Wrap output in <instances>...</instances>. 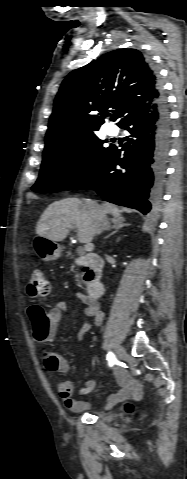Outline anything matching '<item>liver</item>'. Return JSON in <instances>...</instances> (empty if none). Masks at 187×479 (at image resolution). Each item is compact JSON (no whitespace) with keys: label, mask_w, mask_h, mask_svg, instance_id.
<instances>
[{"label":"liver","mask_w":187,"mask_h":479,"mask_svg":"<svg viewBox=\"0 0 187 479\" xmlns=\"http://www.w3.org/2000/svg\"><path fill=\"white\" fill-rule=\"evenodd\" d=\"M89 200L65 198L50 204L41 215L36 234L54 242L63 241L70 228L77 230L81 243H90L95 235L94 219ZM100 207L115 220L124 221L117 206L104 202Z\"/></svg>","instance_id":"liver-1"}]
</instances>
